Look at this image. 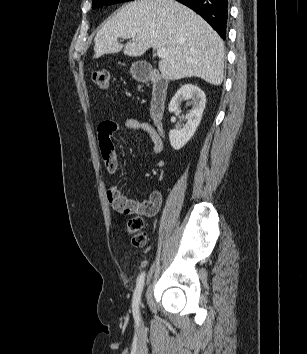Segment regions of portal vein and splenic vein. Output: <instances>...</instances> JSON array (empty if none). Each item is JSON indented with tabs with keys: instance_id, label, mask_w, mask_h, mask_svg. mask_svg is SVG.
Returning <instances> with one entry per match:
<instances>
[{
	"instance_id": "1",
	"label": "portal vein and splenic vein",
	"mask_w": 307,
	"mask_h": 354,
	"mask_svg": "<svg viewBox=\"0 0 307 354\" xmlns=\"http://www.w3.org/2000/svg\"><path fill=\"white\" fill-rule=\"evenodd\" d=\"M132 40H134V39L132 38ZM168 54H169V52H168L167 48H165V47L159 48L157 50V56L159 58H165L168 56Z\"/></svg>"
}]
</instances>
